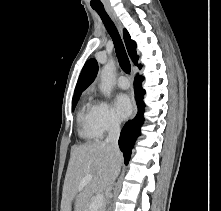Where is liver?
Masks as SVG:
<instances>
[{"mask_svg":"<svg viewBox=\"0 0 221 211\" xmlns=\"http://www.w3.org/2000/svg\"><path fill=\"white\" fill-rule=\"evenodd\" d=\"M123 156L105 142H89L72 148L64 180L61 211H84L86 202L93 194L107 192L113 172L122 163ZM92 180L79 190L86 176Z\"/></svg>","mask_w":221,"mask_h":211,"instance_id":"obj_1","label":"liver"}]
</instances>
